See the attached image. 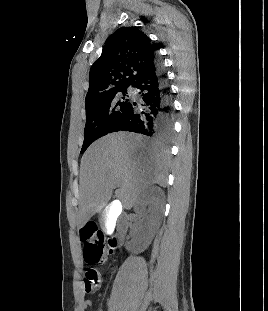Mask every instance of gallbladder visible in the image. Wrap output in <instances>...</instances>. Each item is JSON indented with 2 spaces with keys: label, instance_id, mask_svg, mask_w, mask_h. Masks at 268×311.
Returning <instances> with one entry per match:
<instances>
[{
  "label": "gallbladder",
  "instance_id": "gallbladder-1",
  "mask_svg": "<svg viewBox=\"0 0 268 311\" xmlns=\"http://www.w3.org/2000/svg\"><path fill=\"white\" fill-rule=\"evenodd\" d=\"M123 199H112L111 202H106L103 215L100 217V224L103 228L104 234L116 233V220L122 211Z\"/></svg>",
  "mask_w": 268,
  "mask_h": 311
}]
</instances>
